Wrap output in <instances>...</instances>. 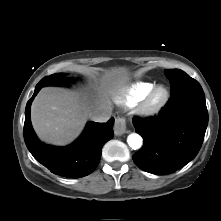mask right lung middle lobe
I'll return each instance as SVG.
<instances>
[{
	"instance_id": "obj_1",
	"label": "right lung middle lobe",
	"mask_w": 221,
	"mask_h": 221,
	"mask_svg": "<svg viewBox=\"0 0 221 221\" xmlns=\"http://www.w3.org/2000/svg\"><path fill=\"white\" fill-rule=\"evenodd\" d=\"M72 79H69L64 75V73H56L47 77H44L38 84L41 86H49V85H69Z\"/></svg>"
}]
</instances>
